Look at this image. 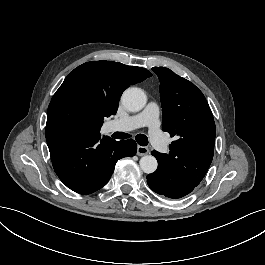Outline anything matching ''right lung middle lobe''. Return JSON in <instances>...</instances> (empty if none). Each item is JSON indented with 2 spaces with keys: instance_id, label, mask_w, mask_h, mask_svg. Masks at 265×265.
Masks as SVG:
<instances>
[{
  "instance_id": "obj_1",
  "label": "right lung middle lobe",
  "mask_w": 265,
  "mask_h": 265,
  "mask_svg": "<svg viewBox=\"0 0 265 265\" xmlns=\"http://www.w3.org/2000/svg\"><path fill=\"white\" fill-rule=\"evenodd\" d=\"M115 112L102 95L84 81H71L60 86L47 111L46 128L61 127L99 133L105 117Z\"/></svg>"
}]
</instances>
